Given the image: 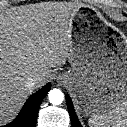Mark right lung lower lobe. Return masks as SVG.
I'll list each match as a JSON object with an SVG mask.
<instances>
[{"mask_svg": "<svg viewBox=\"0 0 127 127\" xmlns=\"http://www.w3.org/2000/svg\"><path fill=\"white\" fill-rule=\"evenodd\" d=\"M48 83L42 89L33 94L23 106L21 112L14 121L4 127H35L39 106L50 90Z\"/></svg>", "mask_w": 127, "mask_h": 127, "instance_id": "obj_1", "label": "right lung lower lobe"}]
</instances>
